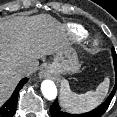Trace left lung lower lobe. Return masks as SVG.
<instances>
[{
  "label": "left lung lower lobe",
  "mask_w": 117,
  "mask_h": 117,
  "mask_svg": "<svg viewBox=\"0 0 117 117\" xmlns=\"http://www.w3.org/2000/svg\"><path fill=\"white\" fill-rule=\"evenodd\" d=\"M114 67H115V74H116V82L115 86L111 92V94L107 97V99L96 109L84 113V114H69L61 111V108L57 102V100L54 101V103L50 107V113L52 117H101L104 112L107 110V108L110 105V102L116 92L117 88V61H114Z\"/></svg>",
  "instance_id": "1"
}]
</instances>
